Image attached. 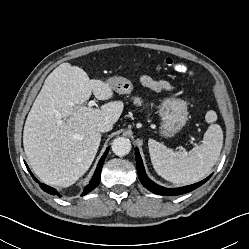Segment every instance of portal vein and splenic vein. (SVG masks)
<instances>
[{"mask_svg":"<svg viewBox=\"0 0 249 249\" xmlns=\"http://www.w3.org/2000/svg\"><path fill=\"white\" fill-rule=\"evenodd\" d=\"M96 103H95V100H91L89 103H88V107H92L94 106Z\"/></svg>","mask_w":249,"mask_h":249,"instance_id":"18ae733b","label":"portal vein and splenic vein"}]
</instances>
